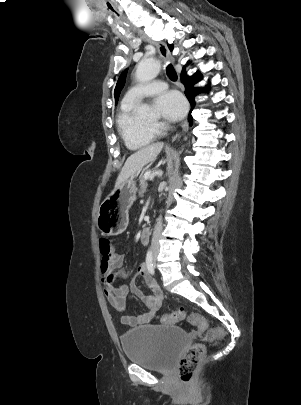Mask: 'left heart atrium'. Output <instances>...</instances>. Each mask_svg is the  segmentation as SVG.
Returning <instances> with one entry per match:
<instances>
[{
	"label": "left heart atrium",
	"mask_w": 301,
	"mask_h": 405,
	"mask_svg": "<svg viewBox=\"0 0 301 405\" xmlns=\"http://www.w3.org/2000/svg\"><path fill=\"white\" fill-rule=\"evenodd\" d=\"M154 103L160 115L169 121L179 120L184 116L187 109L183 96L177 91H167L160 94Z\"/></svg>",
	"instance_id": "left-heart-atrium-1"
}]
</instances>
